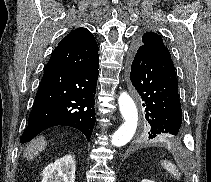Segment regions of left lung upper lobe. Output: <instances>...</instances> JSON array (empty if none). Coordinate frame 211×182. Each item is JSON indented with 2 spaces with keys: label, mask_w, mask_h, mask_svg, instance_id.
Masks as SVG:
<instances>
[{
  "label": "left lung upper lobe",
  "mask_w": 211,
  "mask_h": 182,
  "mask_svg": "<svg viewBox=\"0 0 211 182\" xmlns=\"http://www.w3.org/2000/svg\"><path fill=\"white\" fill-rule=\"evenodd\" d=\"M136 47H144L148 49L151 54L164 66L168 75L176 83H178L170 52L167 46H165L164 41L160 35L154 32H146L143 34L141 39L137 40Z\"/></svg>",
  "instance_id": "left-lung-upper-lobe-1"
}]
</instances>
